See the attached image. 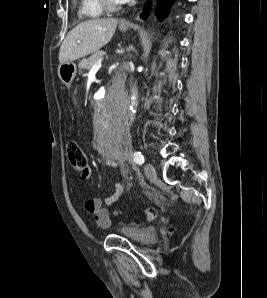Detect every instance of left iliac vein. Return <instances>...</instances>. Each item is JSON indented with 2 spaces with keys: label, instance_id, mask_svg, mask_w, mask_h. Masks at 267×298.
Instances as JSON below:
<instances>
[{
  "label": "left iliac vein",
  "instance_id": "1",
  "mask_svg": "<svg viewBox=\"0 0 267 298\" xmlns=\"http://www.w3.org/2000/svg\"><path fill=\"white\" fill-rule=\"evenodd\" d=\"M144 173L148 178H153L156 175L155 168L150 163L144 165Z\"/></svg>",
  "mask_w": 267,
  "mask_h": 298
}]
</instances>
